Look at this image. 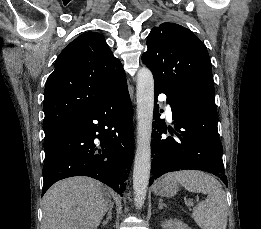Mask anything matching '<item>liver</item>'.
Listing matches in <instances>:
<instances>
[{
    "instance_id": "6515ba94",
    "label": "liver",
    "mask_w": 261,
    "mask_h": 229,
    "mask_svg": "<svg viewBox=\"0 0 261 229\" xmlns=\"http://www.w3.org/2000/svg\"><path fill=\"white\" fill-rule=\"evenodd\" d=\"M110 205L111 197L99 181L63 179L43 197L41 229H98Z\"/></svg>"
}]
</instances>
